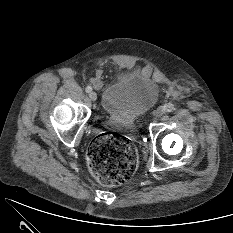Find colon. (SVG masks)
<instances>
[{"label": "colon", "instance_id": "obj_1", "mask_svg": "<svg viewBox=\"0 0 233 233\" xmlns=\"http://www.w3.org/2000/svg\"><path fill=\"white\" fill-rule=\"evenodd\" d=\"M89 168L103 185L126 183L138 165L137 153L130 139L116 133H102L90 143L87 153Z\"/></svg>", "mask_w": 233, "mask_h": 233}]
</instances>
